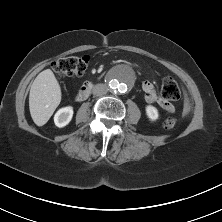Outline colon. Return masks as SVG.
Segmentation results:
<instances>
[{"label": "colon", "mask_w": 222, "mask_h": 222, "mask_svg": "<svg viewBox=\"0 0 222 222\" xmlns=\"http://www.w3.org/2000/svg\"><path fill=\"white\" fill-rule=\"evenodd\" d=\"M89 66V58L87 56L82 57H64L53 62V70L61 76L77 75L81 76L85 73ZM162 96L168 100H178L180 98V88L175 79L172 77H166L163 80L161 87ZM177 123V118L174 116L167 117L164 121V127L166 129L173 128Z\"/></svg>", "instance_id": "colon-1"}]
</instances>
